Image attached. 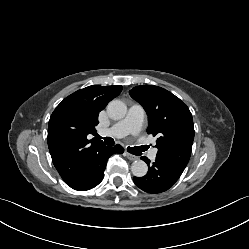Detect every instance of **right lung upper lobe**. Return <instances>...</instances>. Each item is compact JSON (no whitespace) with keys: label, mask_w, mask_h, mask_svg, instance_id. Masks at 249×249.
I'll use <instances>...</instances> for the list:
<instances>
[{"label":"right lung upper lobe","mask_w":249,"mask_h":249,"mask_svg":"<svg viewBox=\"0 0 249 249\" xmlns=\"http://www.w3.org/2000/svg\"><path fill=\"white\" fill-rule=\"evenodd\" d=\"M121 91L120 85L88 86L66 97L52 113L48 147L53 164L65 182L103 145L101 140H89L88 135L96 134L99 112Z\"/></svg>","instance_id":"1"}]
</instances>
